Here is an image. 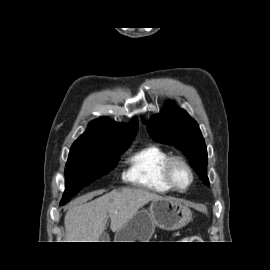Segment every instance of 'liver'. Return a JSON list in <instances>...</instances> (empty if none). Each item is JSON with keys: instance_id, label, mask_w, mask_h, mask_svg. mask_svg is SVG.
Here are the masks:
<instances>
[{"instance_id": "6515ba94", "label": "liver", "mask_w": 270, "mask_h": 270, "mask_svg": "<svg viewBox=\"0 0 270 270\" xmlns=\"http://www.w3.org/2000/svg\"><path fill=\"white\" fill-rule=\"evenodd\" d=\"M103 191L92 193L69 209L64 218L67 242H100L108 218L110 228L117 232L148 202L162 198L145 189L122 188L112 190L90 202Z\"/></svg>"}]
</instances>
